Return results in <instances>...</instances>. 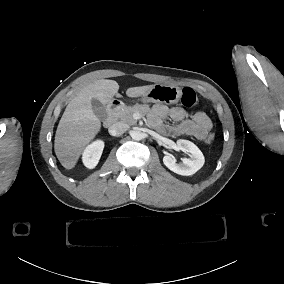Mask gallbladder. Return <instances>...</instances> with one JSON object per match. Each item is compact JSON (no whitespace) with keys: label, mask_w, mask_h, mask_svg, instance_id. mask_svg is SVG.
Instances as JSON below:
<instances>
[{"label":"gallbladder","mask_w":284,"mask_h":284,"mask_svg":"<svg viewBox=\"0 0 284 284\" xmlns=\"http://www.w3.org/2000/svg\"><path fill=\"white\" fill-rule=\"evenodd\" d=\"M92 108L94 111V114L100 119V120H106L107 119V111L106 108L96 99H92Z\"/></svg>","instance_id":"bac80fb5"}]
</instances>
